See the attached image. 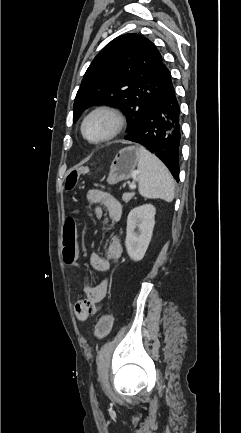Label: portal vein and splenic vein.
I'll return each instance as SVG.
<instances>
[{
  "label": "portal vein and splenic vein",
  "mask_w": 241,
  "mask_h": 433,
  "mask_svg": "<svg viewBox=\"0 0 241 433\" xmlns=\"http://www.w3.org/2000/svg\"><path fill=\"white\" fill-rule=\"evenodd\" d=\"M129 188L134 190L136 188V184H134V183L129 184Z\"/></svg>",
  "instance_id": "1"
}]
</instances>
